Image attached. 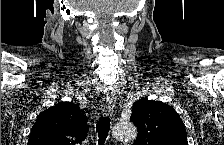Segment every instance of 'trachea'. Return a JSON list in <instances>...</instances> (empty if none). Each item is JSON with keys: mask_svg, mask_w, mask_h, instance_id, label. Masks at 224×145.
I'll return each instance as SVG.
<instances>
[{"mask_svg": "<svg viewBox=\"0 0 224 145\" xmlns=\"http://www.w3.org/2000/svg\"><path fill=\"white\" fill-rule=\"evenodd\" d=\"M109 124H110V119L108 117H103L99 119L96 125V131L98 133V144L103 145L108 133H109Z\"/></svg>", "mask_w": 224, "mask_h": 145, "instance_id": "obj_1", "label": "trachea"}]
</instances>
